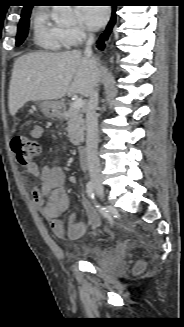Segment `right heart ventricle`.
<instances>
[{
	"label": "right heart ventricle",
	"mask_w": 184,
	"mask_h": 327,
	"mask_svg": "<svg viewBox=\"0 0 184 327\" xmlns=\"http://www.w3.org/2000/svg\"><path fill=\"white\" fill-rule=\"evenodd\" d=\"M33 39L43 49L58 51L68 47L66 30L47 9L35 12L32 20Z\"/></svg>",
	"instance_id": "e07e8e85"
}]
</instances>
